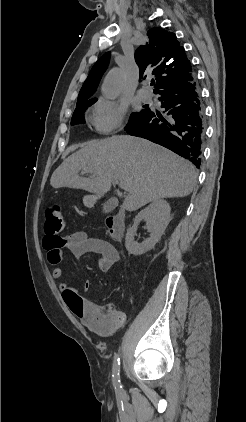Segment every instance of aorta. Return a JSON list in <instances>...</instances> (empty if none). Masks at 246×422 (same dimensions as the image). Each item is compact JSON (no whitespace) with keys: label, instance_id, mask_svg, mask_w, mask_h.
<instances>
[{"label":"aorta","instance_id":"obj_1","mask_svg":"<svg viewBox=\"0 0 246 422\" xmlns=\"http://www.w3.org/2000/svg\"><path fill=\"white\" fill-rule=\"evenodd\" d=\"M125 75L121 69H112L102 85V94L106 99H116L122 92Z\"/></svg>","mask_w":246,"mask_h":422}]
</instances>
